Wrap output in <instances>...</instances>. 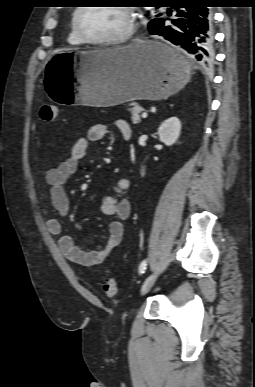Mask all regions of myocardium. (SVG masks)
<instances>
[{
  "mask_svg": "<svg viewBox=\"0 0 255 387\" xmlns=\"http://www.w3.org/2000/svg\"><path fill=\"white\" fill-rule=\"evenodd\" d=\"M87 7L89 6H79L74 11L73 18H72V26H73L74 32L83 43L91 44V45H99V46L120 45L128 42L134 35L136 30L137 16L132 8L124 5H119L115 7L120 9L126 15L128 20V26L124 33H122L117 37L107 38V39H94L87 36L83 32L79 23L80 14Z\"/></svg>",
  "mask_w": 255,
  "mask_h": 387,
  "instance_id": "myocardium-1",
  "label": "myocardium"
}]
</instances>
